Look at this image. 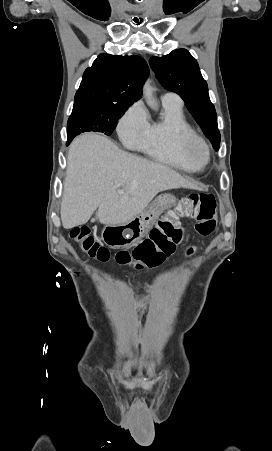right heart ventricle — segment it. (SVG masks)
<instances>
[{"mask_svg":"<svg viewBox=\"0 0 272 451\" xmlns=\"http://www.w3.org/2000/svg\"><path fill=\"white\" fill-rule=\"evenodd\" d=\"M164 117L148 125L144 138L135 146L158 162L173 166L190 174L181 157L180 145L173 138L175 131L192 132L184 119L182 108L163 104Z\"/></svg>","mask_w":272,"mask_h":451,"instance_id":"right-heart-ventricle-1","label":"right heart ventricle"}]
</instances>
